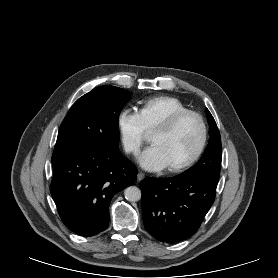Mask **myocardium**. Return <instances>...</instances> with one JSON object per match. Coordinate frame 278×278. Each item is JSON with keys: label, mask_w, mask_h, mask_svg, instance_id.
<instances>
[{"label": "myocardium", "mask_w": 278, "mask_h": 278, "mask_svg": "<svg viewBox=\"0 0 278 278\" xmlns=\"http://www.w3.org/2000/svg\"><path fill=\"white\" fill-rule=\"evenodd\" d=\"M188 117L195 118L200 125L201 136H200V141H199L198 147L195 150V152L190 157L185 159L184 161L174 164V165L167 166V170L169 172H173V173L181 172V171L189 168L190 166H192L202 156V154L205 150L207 141H208V128H207L205 119L198 112L187 110V111L180 112V113L173 115L172 117H170L169 119H167L166 121H164L163 123H161L160 125L155 127L152 131V133L153 132H162V133L170 132L174 128H176L181 121H183L184 119H186Z\"/></svg>", "instance_id": "1"}]
</instances>
